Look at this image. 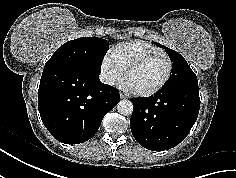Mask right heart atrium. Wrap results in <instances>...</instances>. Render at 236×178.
Wrapping results in <instances>:
<instances>
[{
    "instance_id": "right-heart-atrium-1",
    "label": "right heart atrium",
    "mask_w": 236,
    "mask_h": 178,
    "mask_svg": "<svg viewBox=\"0 0 236 178\" xmlns=\"http://www.w3.org/2000/svg\"><path fill=\"white\" fill-rule=\"evenodd\" d=\"M101 76L104 82L110 85H118L121 82L122 70L113 61L109 54H106L101 61Z\"/></svg>"
}]
</instances>
